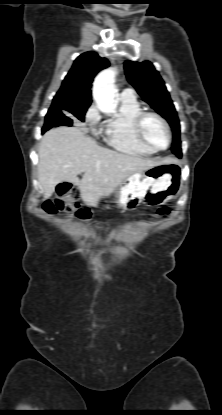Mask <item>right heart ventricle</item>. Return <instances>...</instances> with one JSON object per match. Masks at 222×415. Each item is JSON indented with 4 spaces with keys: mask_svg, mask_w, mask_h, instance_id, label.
<instances>
[{
    "mask_svg": "<svg viewBox=\"0 0 222 415\" xmlns=\"http://www.w3.org/2000/svg\"><path fill=\"white\" fill-rule=\"evenodd\" d=\"M119 113L105 125L103 138L112 148L134 155L148 156L156 151L144 145L137 137L134 122L142 108L136 98L119 97Z\"/></svg>",
    "mask_w": 222,
    "mask_h": 415,
    "instance_id": "obj_1",
    "label": "right heart ventricle"
}]
</instances>
